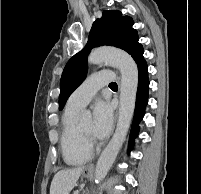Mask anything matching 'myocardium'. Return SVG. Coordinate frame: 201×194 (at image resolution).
<instances>
[{
	"label": "myocardium",
	"mask_w": 201,
	"mask_h": 194,
	"mask_svg": "<svg viewBox=\"0 0 201 194\" xmlns=\"http://www.w3.org/2000/svg\"><path fill=\"white\" fill-rule=\"evenodd\" d=\"M79 130H80V133H81L82 137L84 138L85 142L89 145V143L91 142L90 134L83 131L80 127H79Z\"/></svg>",
	"instance_id": "1"
}]
</instances>
